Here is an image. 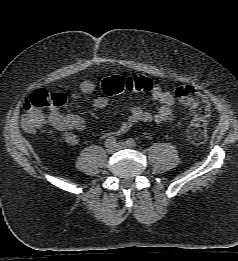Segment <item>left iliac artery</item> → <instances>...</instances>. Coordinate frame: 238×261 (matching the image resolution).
Returning <instances> with one entry per match:
<instances>
[{
	"label": "left iliac artery",
	"mask_w": 238,
	"mask_h": 261,
	"mask_svg": "<svg viewBox=\"0 0 238 261\" xmlns=\"http://www.w3.org/2000/svg\"><path fill=\"white\" fill-rule=\"evenodd\" d=\"M126 144L129 146V147H135L136 146V142L134 141V139L132 138H129L126 140Z\"/></svg>",
	"instance_id": "44dca946"
}]
</instances>
